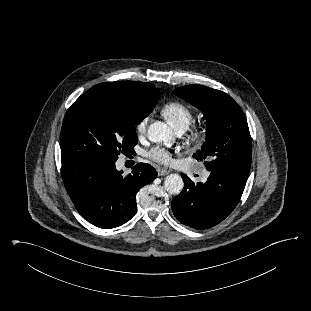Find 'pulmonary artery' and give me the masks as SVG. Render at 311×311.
I'll return each mask as SVG.
<instances>
[{
    "label": "pulmonary artery",
    "mask_w": 311,
    "mask_h": 311,
    "mask_svg": "<svg viewBox=\"0 0 311 311\" xmlns=\"http://www.w3.org/2000/svg\"><path fill=\"white\" fill-rule=\"evenodd\" d=\"M177 132H178L179 134H181V133H183V130H179V131H177ZM207 177H208V175L205 174V175L202 177V180H203V181H206Z\"/></svg>",
    "instance_id": "obj_1"
}]
</instances>
